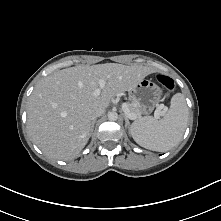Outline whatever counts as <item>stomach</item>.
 <instances>
[{"mask_svg": "<svg viewBox=\"0 0 221 221\" xmlns=\"http://www.w3.org/2000/svg\"><path fill=\"white\" fill-rule=\"evenodd\" d=\"M162 90L151 80L143 79L132 89L130 97L136 102L142 113H150L154 107L161 101Z\"/></svg>", "mask_w": 221, "mask_h": 221, "instance_id": "obj_1", "label": "stomach"}]
</instances>
